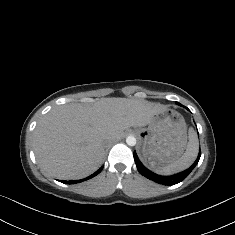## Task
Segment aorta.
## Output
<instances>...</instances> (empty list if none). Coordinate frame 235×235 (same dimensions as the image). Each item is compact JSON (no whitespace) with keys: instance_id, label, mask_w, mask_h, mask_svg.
Segmentation results:
<instances>
[{"instance_id":"762f6f07","label":"aorta","mask_w":235,"mask_h":235,"mask_svg":"<svg viewBox=\"0 0 235 235\" xmlns=\"http://www.w3.org/2000/svg\"><path fill=\"white\" fill-rule=\"evenodd\" d=\"M126 143L129 145V146H134L136 145V138L134 136H128L126 138Z\"/></svg>"}]
</instances>
